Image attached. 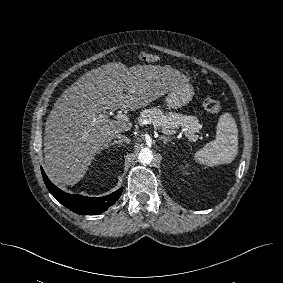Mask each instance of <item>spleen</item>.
<instances>
[{
  "label": "spleen",
  "instance_id": "3e777b00",
  "mask_svg": "<svg viewBox=\"0 0 283 283\" xmlns=\"http://www.w3.org/2000/svg\"><path fill=\"white\" fill-rule=\"evenodd\" d=\"M238 152V129L230 113H223L217 124L215 140L194 153V160L202 165L216 166L231 163Z\"/></svg>",
  "mask_w": 283,
  "mask_h": 283
}]
</instances>
